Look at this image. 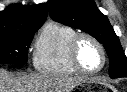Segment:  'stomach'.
I'll list each match as a JSON object with an SVG mask.
<instances>
[{"label":"stomach","instance_id":"stomach-1","mask_svg":"<svg viewBox=\"0 0 127 92\" xmlns=\"http://www.w3.org/2000/svg\"><path fill=\"white\" fill-rule=\"evenodd\" d=\"M78 90H86L87 88H89L91 86V82L90 81H84L82 83H80Z\"/></svg>","mask_w":127,"mask_h":92}]
</instances>
